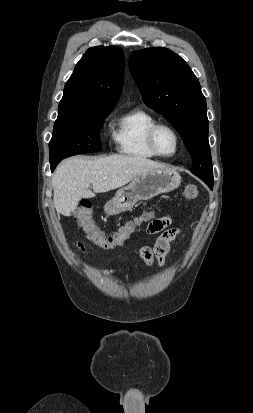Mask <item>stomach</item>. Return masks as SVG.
Listing matches in <instances>:
<instances>
[{
    "mask_svg": "<svg viewBox=\"0 0 253 413\" xmlns=\"http://www.w3.org/2000/svg\"><path fill=\"white\" fill-rule=\"evenodd\" d=\"M180 183L181 176L170 168L140 174L116 192L114 198L105 204L104 211L111 216L130 210L136 202L173 191Z\"/></svg>",
    "mask_w": 253,
    "mask_h": 413,
    "instance_id": "obj_1",
    "label": "stomach"
}]
</instances>
